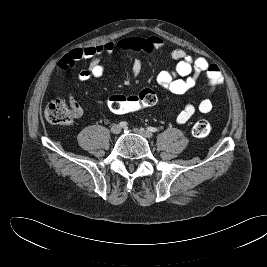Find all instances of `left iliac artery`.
Wrapping results in <instances>:
<instances>
[{
    "instance_id": "1",
    "label": "left iliac artery",
    "mask_w": 267,
    "mask_h": 267,
    "mask_svg": "<svg viewBox=\"0 0 267 267\" xmlns=\"http://www.w3.org/2000/svg\"><path fill=\"white\" fill-rule=\"evenodd\" d=\"M147 130L148 131H151V132H158L159 130L155 127H147Z\"/></svg>"
}]
</instances>
